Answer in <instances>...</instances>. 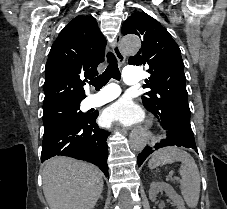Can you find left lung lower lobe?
Instances as JSON below:
<instances>
[{
	"label": "left lung lower lobe",
	"mask_w": 227,
	"mask_h": 209,
	"mask_svg": "<svg viewBox=\"0 0 227 209\" xmlns=\"http://www.w3.org/2000/svg\"><path fill=\"white\" fill-rule=\"evenodd\" d=\"M164 129L167 130V138L156 143L153 147L146 146L144 150L138 155V166L145 161V159L154 151L166 146H178L192 148L197 153V147L194 140L192 129L185 125L179 124L175 120L157 118Z\"/></svg>",
	"instance_id": "1"
}]
</instances>
